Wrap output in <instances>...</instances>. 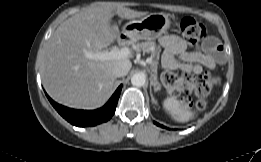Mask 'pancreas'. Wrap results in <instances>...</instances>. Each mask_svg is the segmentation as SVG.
Here are the masks:
<instances>
[{"mask_svg":"<svg viewBox=\"0 0 261 162\" xmlns=\"http://www.w3.org/2000/svg\"><path fill=\"white\" fill-rule=\"evenodd\" d=\"M137 47L141 49L143 52L151 53V71H152V81L156 89H160V83L157 79V68H158V61L160 57L161 48L160 46L156 45L154 41H147L137 44Z\"/></svg>","mask_w":261,"mask_h":162,"instance_id":"1","label":"pancreas"}]
</instances>
